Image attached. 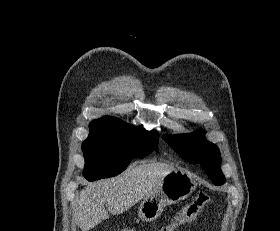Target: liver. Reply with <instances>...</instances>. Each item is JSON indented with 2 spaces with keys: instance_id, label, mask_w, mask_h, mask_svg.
<instances>
[{
  "instance_id": "liver-1",
  "label": "liver",
  "mask_w": 280,
  "mask_h": 231,
  "mask_svg": "<svg viewBox=\"0 0 280 231\" xmlns=\"http://www.w3.org/2000/svg\"><path fill=\"white\" fill-rule=\"evenodd\" d=\"M173 169L168 163H143L136 167L129 165L117 177L87 183L79 193L75 209V217L82 231L95 227L101 219H107L109 213L116 215L135 205L149 195L157 183ZM105 201L109 213L104 207Z\"/></svg>"
}]
</instances>
